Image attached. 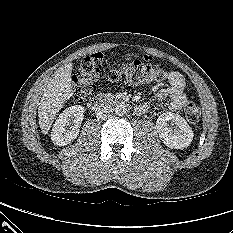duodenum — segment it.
Instances as JSON below:
<instances>
[{"label":"duodenum","instance_id":"410a0bca","mask_svg":"<svg viewBox=\"0 0 233 233\" xmlns=\"http://www.w3.org/2000/svg\"><path fill=\"white\" fill-rule=\"evenodd\" d=\"M106 104H114V105H120L125 106L130 109H133L137 113L145 112L146 110L143 108V106L136 105L132 101L122 98V97H99L94 96L92 97L88 102V107L91 110H99Z\"/></svg>","mask_w":233,"mask_h":233}]
</instances>
